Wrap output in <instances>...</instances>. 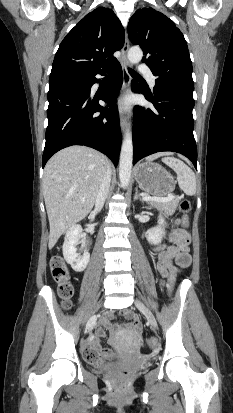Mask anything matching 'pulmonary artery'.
Here are the masks:
<instances>
[{
    "label": "pulmonary artery",
    "mask_w": 233,
    "mask_h": 413,
    "mask_svg": "<svg viewBox=\"0 0 233 413\" xmlns=\"http://www.w3.org/2000/svg\"><path fill=\"white\" fill-rule=\"evenodd\" d=\"M140 70H141V72L146 76V78H147V80H148V82H149V85H150L152 88L155 87L156 81H155V77H154V75L152 74L151 70H150L148 67H146V66H141V67H140Z\"/></svg>",
    "instance_id": "e3ab8cb5"
}]
</instances>
